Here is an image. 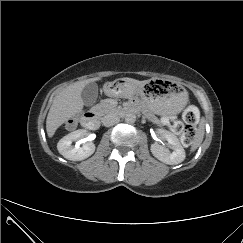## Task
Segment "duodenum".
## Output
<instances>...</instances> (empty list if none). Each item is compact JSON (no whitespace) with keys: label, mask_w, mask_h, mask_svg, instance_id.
<instances>
[{"label":"duodenum","mask_w":243,"mask_h":243,"mask_svg":"<svg viewBox=\"0 0 243 243\" xmlns=\"http://www.w3.org/2000/svg\"><path fill=\"white\" fill-rule=\"evenodd\" d=\"M132 111V108L125 107L117 110V114L121 117L125 116L126 114L130 113ZM82 125L90 130H95L99 126V120L95 112L93 111H87L83 118H82Z\"/></svg>","instance_id":"1"}]
</instances>
